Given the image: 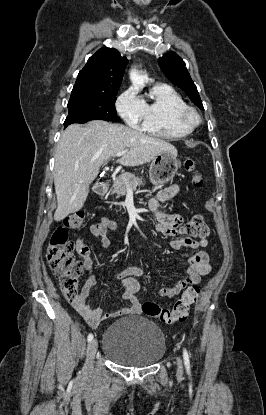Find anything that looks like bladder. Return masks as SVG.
<instances>
[{
	"instance_id": "bladder-1",
	"label": "bladder",
	"mask_w": 266,
	"mask_h": 415,
	"mask_svg": "<svg viewBox=\"0 0 266 415\" xmlns=\"http://www.w3.org/2000/svg\"><path fill=\"white\" fill-rule=\"evenodd\" d=\"M166 350L165 336L155 323L141 316L119 319L104 333L102 351L113 362L128 367L157 363Z\"/></svg>"
}]
</instances>
